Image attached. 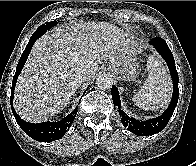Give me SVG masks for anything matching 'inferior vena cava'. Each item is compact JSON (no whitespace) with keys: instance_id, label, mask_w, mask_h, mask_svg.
<instances>
[{"instance_id":"602c4592","label":"inferior vena cava","mask_w":196,"mask_h":166,"mask_svg":"<svg viewBox=\"0 0 196 166\" xmlns=\"http://www.w3.org/2000/svg\"><path fill=\"white\" fill-rule=\"evenodd\" d=\"M74 77L78 83H82L88 79V74L87 72L78 69L75 71Z\"/></svg>"}]
</instances>
